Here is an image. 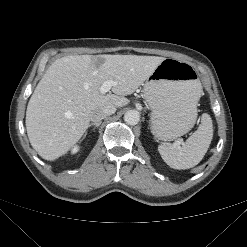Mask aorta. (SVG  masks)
Wrapping results in <instances>:
<instances>
[{
    "instance_id": "aorta-1",
    "label": "aorta",
    "mask_w": 247,
    "mask_h": 247,
    "mask_svg": "<svg viewBox=\"0 0 247 247\" xmlns=\"http://www.w3.org/2000/svg\"><path fill=\"white\" fill-rule=\"evenodd\" d=\"M124 121L128 125H136L140 121V114L136 110H129L124 114Z\"/></svg>"
}]
</instances>
